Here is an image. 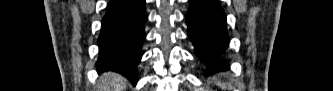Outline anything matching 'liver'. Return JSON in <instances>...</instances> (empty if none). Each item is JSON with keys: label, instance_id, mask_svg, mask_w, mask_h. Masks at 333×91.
Returning <instances> with one entry per match:
<instances>
[{"label": "liver", "instance_id": "liver-1", "mask_svg": "<svg viewBox=\"0 0 333 91\" xmlns=\"http://www.w3.org/2000/svg\"><path fill=\"white\" fill-rule=\"evenodd\" d=\"M125 86L126 79L113 72L104 73L97 82L98 91H122Z\"/></svg>", "mask_w": 333, "mask_h": 91}]
</instances>
